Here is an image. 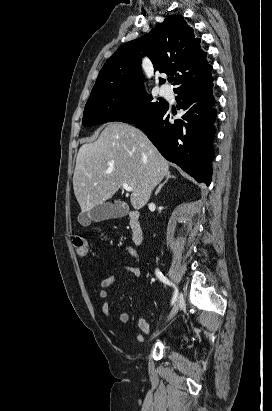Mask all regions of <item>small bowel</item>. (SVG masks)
Listing matches in <instances>:
<instances>
[{"label":"small bowel","instance_id":"obj_1","mask_svg":"<svg viewBox=\"0 0 272 411\" xmlns=\"http://www.w3.org/2000/svg\"><path fill=\"white\" fill-rule=\"evenodd\" d=\"M128 250H129V253L131 254V256H133L136 260H138V255H137L136 251L133 248H129ZM116 271L128 272L134 278H138L141 274L139 268L135 265L121 264V265H118L116 267ZM116 281H117V276L116 275H111V276L103 279L101 281V284H100L101 289L99 291V298L102 301L101 309H102V313L104 314L105 318L108 321H111L112 317H111V314H110V305H109L108 300H107L108 299L107 288L109 286H111L113 283H115ZM117 320L122 322V323H125L129 320V314L126 313V312H120L117 315ZM137 324H138L139 329L141 330V333L136 334L135 340L137 342H142L144 340V336L149 335L151 333L150 324L147 321V319L145 317L141 316V315H139L138 318H137ZM109 328L118 337L123 338V336L117 332V329L115 328V326L110 324Z\"/></svg>","mask_w":272,"mask_h":411}]
</instances>
